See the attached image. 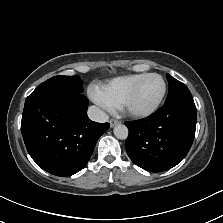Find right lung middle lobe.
<instances>
[{
    "label": "right lung middle lobe",
    "mask_w": 223,
    "mask_h": 223,
    "mask_svg": "<svg viewBox=\"0 0 223 223\" xmlns=\"http://www.w3.org/2000/svg\"><path fill=\"white\" fill-rule=\"evenodd\" d=\"M82 92V81L78 76H54L38 85L25 103L60 94Z\"/></svg>",
    "instance_id": "dd1d6c3e"
}]
</instances>
